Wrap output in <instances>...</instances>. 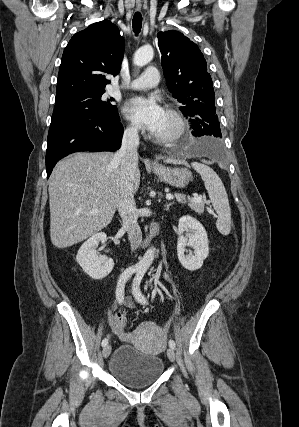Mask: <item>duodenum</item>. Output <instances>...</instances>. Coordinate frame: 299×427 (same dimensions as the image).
Instances as JSON below:
<instances>
[{"label":"duodenum","instance_id":"duodenum-1","mask_svg":"<svg viewBox=\"0 0 299 427\" xmlns=\"http://www.w3.org/2000/svg\"><path fill=\"white\" fill-rule=\"evenodd\" d=\"M159 233H160V224L156 223L151 227L150 235L146 240V242L150 243L152 239H155L156 237H158Z\"/></svg>","mask_w":299,"mask_h":427}]
</instances>
